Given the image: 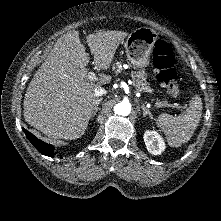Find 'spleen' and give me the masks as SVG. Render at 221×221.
I'll use <instances>...</instances> for the list:
<instances>
[{
    "mask_svg": "<svg viewBox=\"0 0 221 221\" xmlns=\"http://www.w3.org/2000/svg\"><path fill=\"white\" fill-rule=\"evenodd\" d=\"M202 108L201 98L194 95L184 113L177 117L165 113L158 116L156 124L166 135L171 147H179L191 139L199 124Z\"/></svg>",
    "mask_w": 221,
    "mask_h": 221,
    "instance_id": "1",
    "label": "spleen"
}]
</instances>
